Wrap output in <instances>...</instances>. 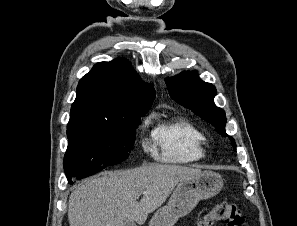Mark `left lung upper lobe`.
<instances>
[{"instance_id":"obj_1","label":"left lung upper lobe","mask_w":297,"mask_h":226,"mask_svg":"<svg viewBox=\"0 0 297 226\" xmlns=\"http://www.w3.org/2000/svg\"><path fill=\"white\" fill-rule=\"evenodd\" d=\"M166 84L172 99L211 123L221 135L228 136L225 131L226 115L214 104L217 92L212 84L201 81L195 71H185L168 78ZM228 137L235 151L236 143L231 136Z\"/></svg>"}]
</instances>
